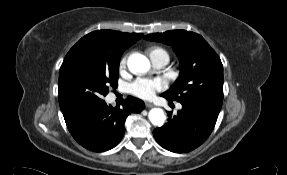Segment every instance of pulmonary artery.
<instances>
[{
	"label": "pulmonary artery",
	"mask_w": 287,
	"mask_h": 175,
	"mask_svg": "<svg viewBox=\"0 0 287 175\" xmlns=\"http://www.w3.org/2000/svg\"><path fill=\"white\" fill-rule=\"evenodd\" d=\"M152 62L158 68L164 67L169 62V56L165 53H158L151 56Z\"/></svg>",
	"instance_id": "e3ab8cb5"
}]
</instances>
